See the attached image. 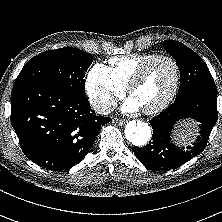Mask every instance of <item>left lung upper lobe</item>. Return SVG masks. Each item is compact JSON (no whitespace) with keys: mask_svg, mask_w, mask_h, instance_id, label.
<instances>
[{"mask_svg":"<svg viewBox=\"0 0 222 222\" xmlns=\"http://www.w3.org/2000/svg\"><path fill=\"white\" fill-rule=\"evenodd\" d=\"M164 47L174 57L180 70L181 81L177 97L191 92L217 95L207 65L194 51L175 40H165Z\"/></svg>","mask_w":222,"mask_h":222,"instance_id":"1","label":"left lung upper lobe"}]
</instances>
